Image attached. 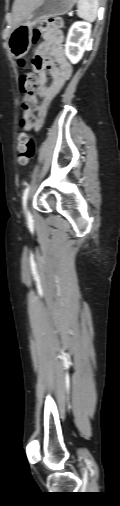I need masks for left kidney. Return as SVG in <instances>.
Here are the masks:
<instances>
[{"instance_id":"1","label":"left kidney","mask_w":120,"mask_h":506,"mask_svg":"<svg viewBox=\"0 0 120 506\" xmlns=\"http://www.w3.org/2000/svg\"><path fill=\"white\" fill-rule=\"evenodd\" d=\"M91 25L85 22L74 23L67 35L65 54L71 63L75 64L82 58L89 44Z\"/></svg>"}]
</instances>
